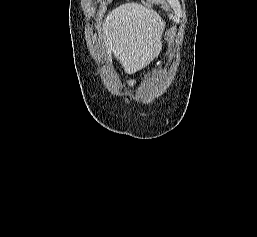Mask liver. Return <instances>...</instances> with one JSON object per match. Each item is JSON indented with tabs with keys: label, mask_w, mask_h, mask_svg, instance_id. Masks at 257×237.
<instances>
[{
	"label": "liver",
	"mask_w": 257,
	"mask_h": 237,
	"mask_svg": "<svg viewBox=\"0 0 257 237\" xmlns=\"http://www.w3.org/2000/svg\"><path fill=\"white\" fill-rule=\"evenodd\" d=\"M164 21L153 10L127 3L112 10L102 27L108 60L113 52L127 74L148 65L160 52Z\"/></svg>",
	"instance_id": "6515ba94"
}]
</instances>
